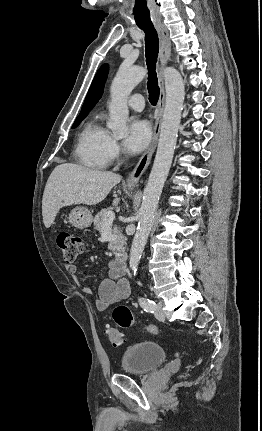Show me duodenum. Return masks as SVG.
I'll use <instances>...</instances> for the list:
<instances>
[{
    "label": "duodenum",
    "instance_id": "1",
    "mask_svg": "<svg viewBox=\"0 0 262 431\" xmlns=\"http://www.w3.org/2000/svg\"><path fill=\"white\" fill-rule=\"evenodd\" d=\"M127 258L128 256H127V253L125 252H121L118 256V260L124 264H126Z\"/></svg>",
    "mask_w": 262,
    "mask_h": 431
}]
</instances>
